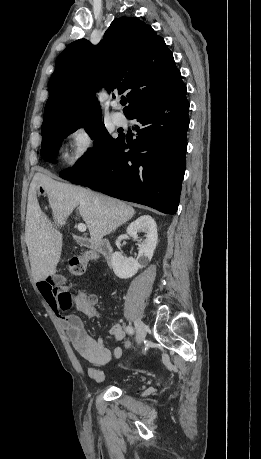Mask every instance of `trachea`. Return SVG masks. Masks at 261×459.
I'll use <instances>...</instances> for the list:
<instances>
[{
    "label": "trachea",
    "mask_w": 261,
    "mask_h": 459,
    "mask_svg": "<svg viewBox=\"0 0 261 459\" xmlns=\"http://www.w3.org/2000/svg\"><path fill=\"white\" fill-rule=\"evenodd\" d=\"M126 103H127V100H122V101H121V104H122L123 106L126 105Z\"/></svg>",
    "instance_id": "obj_1"
}]
</instances>
